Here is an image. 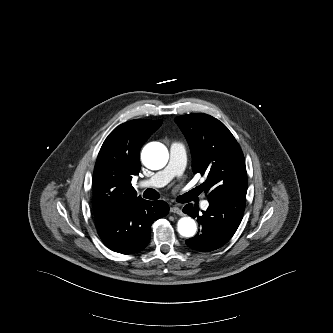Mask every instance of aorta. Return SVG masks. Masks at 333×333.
Here are the masks:
<instances>
[{
  "instance_id": "obj_1",
  "label": "aorta",
  "mask_w": 333,
  "mask_h": 333,
  "mask_svg": "<svg viewBox=\"0 0 333 333\" xmlns=\"http://www.w3.org/2000/svg\"><path fill=\"white\" fill-rule=\"evenodd\" d=\"M169 154L167 148L159 143L152 142L147 144L141 154L143 164L151 170H159L168 162ZM178 233L186 238L195 236L197 225L191 217H182L177 224Z\"/></svg>"
}]
</instances>
